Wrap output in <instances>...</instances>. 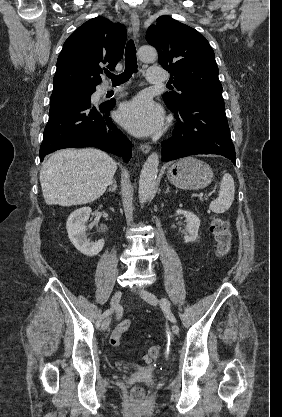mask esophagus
<instances>
[{
    "label": "esophagus",
    "mask_w": 282,
    "mask_h": 417,
    "mask_svg": "<svg viewBox=\"0 0 282 417\" xmlns=\"http://www.w3.org/2000/svg\"><path fill=\"white\" fill-rule=\"evenodd\" d=\"M130 21H131V25H132L134 38H135V40H137L138 35H139L140 22H139V16L136 12H131ZM140 149L142 150V152L144 154H147L150 151L151 146L149 144H141Z\"/></svg>",
    "instance_id": "34e87169"
}]
</instances>
